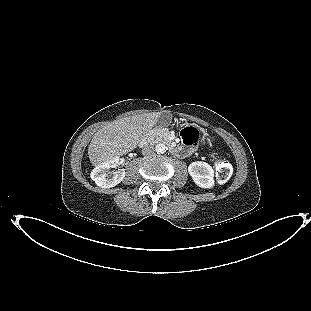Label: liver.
Returning <instances> with one entry per match:
<instances>
[{"mask_svg": "<svg viewBox=\"0 0 311 311\" xmlns=\"http://www.w3.org/2000/svg\"><path fill=\"white\" fill-rule=\"evenodd\" d=\"M160 113L152 112L121 118L96 132L88 147L93 166L132 151L157 123Z\"/></svg>", "mask_w": 311, "mask_h": 311, "instance_id": "liver-1", "label": "liver"}]
</instances>
